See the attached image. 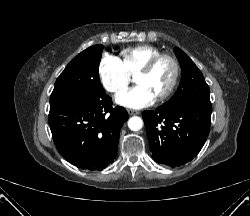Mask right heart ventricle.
<instances>
[{"label": "right heart ventricle", "instance_id": "right-heart-ventricle-1", "mask_svg": "<svg viewBox=\"0 0 250 216\" xmlns=\"http://www.w3.org/2000/svg\"><path fill=\"white\" fill-rule=\"evenodd\" d=\"M159 54L160 50L156 47L137 46L122 51L120 61L130 75H136L152 58Z\"/></svg>", "mask_w": 250, "mask_h": 216}]
</instances>
